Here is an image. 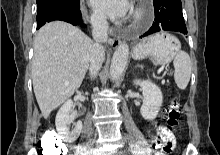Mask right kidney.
<instances>
[{"label":"right kidney","mask_w":220,"mask_h":155,"mask_svg":"<svg viewBox=\"0 0 220 155\" xmlns=\"http://www.w3.org/2000/svg\"><path fill=\"white\" fill-rule=\"evenodd\" d=\"M72 107L73 101L67 100L59 109L55 119L58 134L63 141L69 143L74 142L79 137L82 130L81 121L74 124V129L70 130L69 128V124L73 122V118L70 116Z\"/></svg>","instance_id":"ca27d5eb"}]
</instances>
